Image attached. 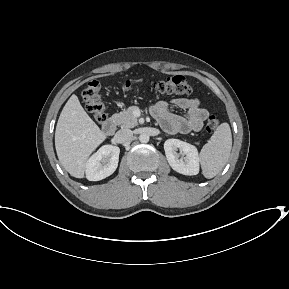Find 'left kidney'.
<instances>
[{
  "label": "left kidney",
  "mask_w": 289,
  "mask_h": 289,
  "mask_svg": "<svg viewBox=\"0 0 289 289\" xmlns=\"http://www.w3.org/2000/svg\"><path fill=\"white\" fill-rule=\"evenodd\" d=\"M167 161L173 170L183 175L199 173V155L194 145L179 139H167L164 143ZM180 150V153L177 152Z\"/></svg>",
  "instance_id": "5707ae66"
}]
</instances>
